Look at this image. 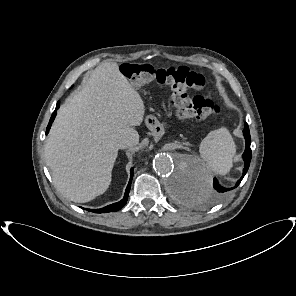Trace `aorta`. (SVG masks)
I'll return each instance as SVG.
<instances>
[{
  "label": "aorta",
  "mask_w": 296,
  "mask_h": 296,
  "mask_svg": "<svg viewBox=\"0 0 296 296\" xmlns=\"http://www.w3.org/2000/svg\"><path fill=\"white\" fill-rule=\"evenodd\" d=\"M153 168L163 177L169 196L181 205H200L210 195L211 177L195 156L160 153Z\"/></svg>",
  "instance_id": "1"
}]
</instances>
